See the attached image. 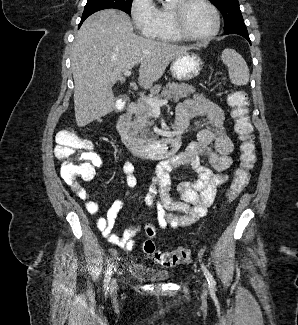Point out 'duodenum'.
<instances>
[{"label": "duodenum", "instance_id": "1", "mask_svg": "<svg viewBox=\"0 0 298 325\" xmlns=\"http://www.w3.org/2000/svg\"><path fill=\"white\" fill-rule=\"evenodd\" d=\"M136 110L137 104L130 102L117 122V131L127 149L136 156L152 159L170 157L175 154L180 146V132L186 127L193 111L179 106L173 132L159 140L144 141L137 138L131 129V119Z\"/></svg>", "mask_w": 298, "mask_h": 325}]
</instances>
